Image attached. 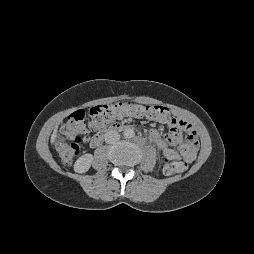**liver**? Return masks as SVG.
Segmentation results:
<instances>
[{"label": "liver", "mask_w": 254, "mask_h": 254, "mask_svg": "<svg viewBox=\"0 0 254 254\" xmlns=\"http://www.w3.org/2000/svg\"><path fill=\"white\" fill-rule=\"evenodd\" d=\"M57 127H58V126L55 127V129H54V131H53V133H52V135H51V143H52V144L55 142L56 137H57Z\"/></svg>", "instance_id": "6515ba94"}]
</instances>
